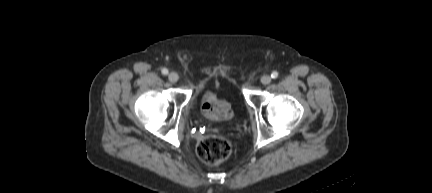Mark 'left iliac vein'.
I'll list each match as a JSON object with an SVG mask.
<instances>
[{"mask_svg": "<svg viewBox=\"0 0 432 193\" xmlns=\"http://www.w3.org/2000/svg\"><path fill=\"white\" fill-rule=\"evenodd\" d=\"M260 81H261L262 84L268 85V84L271 83L272 79H271V77L269 75H264V76L261 77Z\"/></svg>", "mask_w": 432, "mask_h": 193, "instance_id": "4c4485c4", "label": "left iliac vein"}]
</instances>
